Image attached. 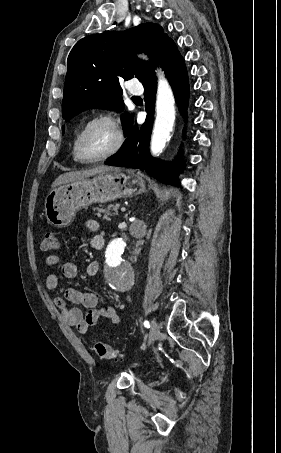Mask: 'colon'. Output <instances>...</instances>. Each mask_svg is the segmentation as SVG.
Wrapping results in <instances>:
<instances>
[{
  "mask_svg": "<svg viewBox=\"0 0 281 453\" xmlns=\"http://www.w3.org/2000/svg\"><path fill=\"white\" fill-rule=\"evenodd\" d=\"M59 232L57 230H48L42 241L41 249L43 252H57L59 250ZM96 355L106 362H117V351L104 342H96L93 345Z\"/></svg>",
  "mask_w": 281,
  "mask_h": 453,
  "instance_id": "1",
  "label": "colon"
}]
</instances>
